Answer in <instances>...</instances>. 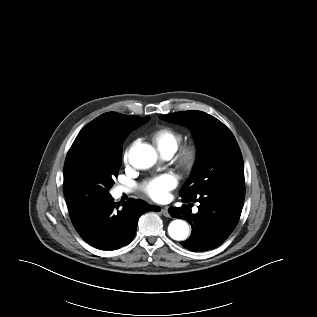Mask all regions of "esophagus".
Returning a JSON list of instances; mask_svg holds the SVG:
<instances>
[{
  "label": "esophagus",
  "instance_id": "esophagus-1",
  "mask_svg": "<svg viewBox=\"0 0 317 317\" xmlns=\"http://www.w3.org/2000/svg\"><path fill=\"white\" fill-rule=\"evenodd\" d=\"M161 213L165 216V217H170V214L168 212V208L167 207H163L161 209Z\"/></svg>",
  "mask_w": 317,
  "mask_h": 317
}]
</instances>
